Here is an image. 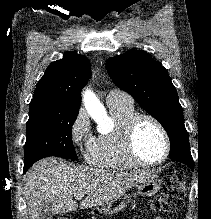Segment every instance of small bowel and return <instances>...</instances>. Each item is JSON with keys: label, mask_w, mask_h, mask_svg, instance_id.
Returning <instances> with one entry per match:
<instances>
[{"label": "small bowel", "mask_w": 211, "mask_h": 219, "mask_svg": "<svg viewBox=\"0 0 211 219\" xmlns=\"http://www.w3.org/2000/svg\"><path fill=\"white\" fill-rule=\"evenodd\" d=\"M154 219H163V218L160 216H156Z\"/></svg>", "instance_id": "obj_1"}]
</instances>
